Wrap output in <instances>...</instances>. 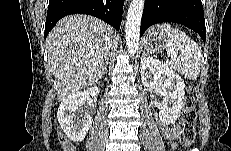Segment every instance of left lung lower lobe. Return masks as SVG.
Wrapping results in <instances>:
<instances>
[{
    "label": "left lung lower lobe",
    "instance_id": "0a47b994",
    "mask_svg": "<svg viewBox=\"0 0 231 151\" xmlns=\"http://www.w3.org/2000/svg\"><path fill=\"white\" fill-rule=\"evenodd\" d=\"M174 22L197 32L206 40L204 11L201 0H145L140 36L150 26Z\"/></svg>",
    "mask_w": 231,
    "mask_h": 151
}]
</instances>
